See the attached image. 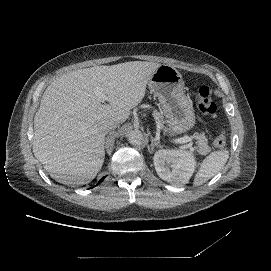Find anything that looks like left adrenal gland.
Listing matches in <instances>:
<instances>
[{"mask_svg":"<svg viewBox=\"0 0 271 271\" xmlns=\"http://www.w3.org/2000/svg\"><path fill=\"white\" fill-rule=\"evenodd\" d=\"M150 137H151V150H150V153H153L155 146H157V147H159L161 149L163 148V146L160 144L159 141H155L153 136H150Z\"/></svg>","mask_w":271,"mask_h":271,"instance_id":"a2214340","label":"left adrenal gland"}]
</instances>
